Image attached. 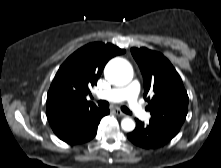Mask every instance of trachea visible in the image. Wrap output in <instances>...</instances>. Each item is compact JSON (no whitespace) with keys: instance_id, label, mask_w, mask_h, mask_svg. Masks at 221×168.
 Returning a JSON list of instances; mask_svg holds the SVG:
<instances>
[{"instance_id":"3493384b","label":"trachea","mask_w":221,"mask_h":168,"mask_svg":"<svg viewBox=\"0 0 221 168\" xmlns=\"http://www.w3.org/2000/svg\"><path fill=\"white\" fill-rule=\"evenodd\" d=\"M98 105L100 107L107 108L109 106V103L107 101L100 100V101H98ZM121 110L126 114H131L130 110L125 106H122Z\"/></svg>"}]
</instances>
